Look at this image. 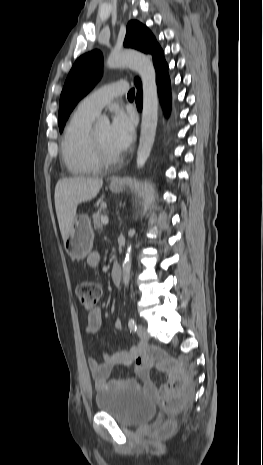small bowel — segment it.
<instances>
[{
	"mask_svg": "<svg viewBox=\"0 0 263 465\" xmlns=\"http://www.w3.org/2000/svg\"><path fill=\"white\" fill-rule=\"evenodd\" d=\"M100 262V255L98 252H92L87 257V264L91 268H96ZM102 325V312L101 309L95 307L88 312L87 324L85 327V334L89 336L95 335ZM115 328L121 330L122 325L120 319H116ZM142 346H134L127 351H119L110 355L106 350L100 354L101 361L94 357L88 358V367L93 378L95 387L98 390L109 389L113 387H126L131 389H142L152 395H162L165 386L157 388L149 377V366L142 355ZM134 365V371L139 381L134 379H126L122 377H115L109 379L114 366H128ZM169 384L176 380L175 374L169 372Z\"/></svg>",
	"mask_w": 263,
	"mask_h": 465,
	"instance_id": "1",
	"label": "small bowel"
}]
</instances>
